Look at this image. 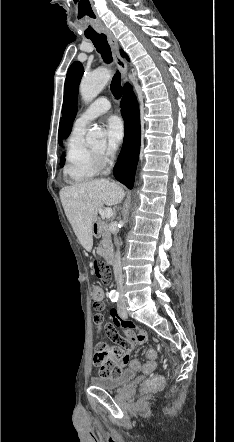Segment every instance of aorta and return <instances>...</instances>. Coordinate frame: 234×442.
Wrapping results in <instances>:
<instances>
[{
  "instance_id": "762f6f07",
  "label": "aorta",
  "mask_w": 234,
  "mask_h": 442,
  "mask_svg": "<svg viewBox=\"0 0 234 442\" xmlns=\"http://www.w3.org/2000/svg\"><path fill=\"white\" fill-rule=\"evenodd\" d=\"M111 78V71L106 68L97 69L83 76L80 83V93L85 102L92 101L104 89ZM103 138V132L99 128L89 129L87 141L94 143Z\"/></svg>"
}]
</instances>
